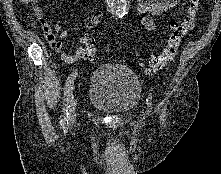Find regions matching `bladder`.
I'll return each mask as SVG.
<instances>
[{
	"label": "bladder",
	"instance_id": "bladder-1",
	"mask_svg": "<svg viewBox=\"0 0 221 174\" xmlns=\"http://www.w3.org/2000/svg\"><path fill=\"white\" fill-rule=\"evenodd\" d=\"M141 83L135 72L121 64H103L92 74L88 100L107 113H126L140 101Z\"/></svg>",
	"mask_w": 221,
	"mask_h": 174
}]
</instances>
